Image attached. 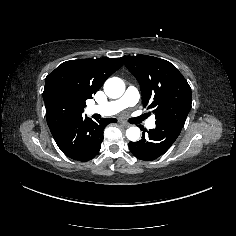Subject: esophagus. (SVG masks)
Wrapping results in <instances>:
<instances>
[{"label":"esophagus","mask_w":236,"mask_h":236,"mask_svg":"<svg viewBox=\"0 0 236 236\" xmlns=\"http://www.w3.org/2000/svg\"><path fill=\"white\" fill-rule=\"evenodd\" d=\"M119 123L120 124H123L124 126H126V127H129L131 124L130 123H128V122H126V121H124V120H119Z\"/></svg>","instance_id":"obj_1"}]
</instances>
